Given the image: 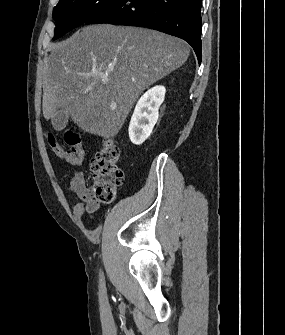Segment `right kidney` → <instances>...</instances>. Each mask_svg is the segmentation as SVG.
I'll return each instance as SVG.
<instances>
[{"instance_id": "ca27d5eb", "label": "right kidney", "mask_w": 285, "mask_h": 335, "mask_svg": "<svg viewBox=\"0 0 285 335\" xmlns=\"http://www.w3.org/2000/svg\"><path fill=\"white\" fill-rule=\"evenodd\" d=\"M165 94L164 86H154L138 100L128 130L132 144L140 146L149 138L159 118V108Z\"/></svg>"}]
</instances>
